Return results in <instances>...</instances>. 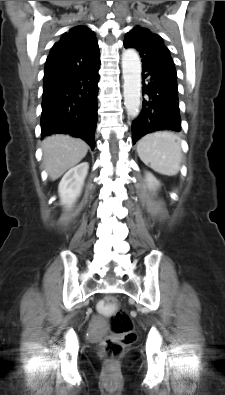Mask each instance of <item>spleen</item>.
<instances>
[{
    "instance_id": "spleen-1",
    "label": "spleen",
    "mask_w": 225,
    "mask_h": 395,
    "mask_svg": "<svg viewBox=\"0 0 225 395\" xmlns=\"http://www.w3.org/2000/svg\"><path fill=\"white\" fill-rule=\"evenodd\" d=\"M137 152L144 164L154 171L174 176L182 160L180 138L170 131L147 134L137 144Z\"/></svg>"
}]
</instances>
